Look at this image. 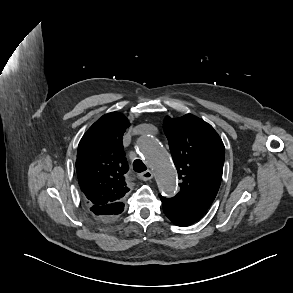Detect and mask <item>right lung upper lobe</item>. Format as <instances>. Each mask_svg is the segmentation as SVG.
Returning a JSON list of instances; mask_svg holds the SVG:
<instances>
[{
	"instance_id": "obj_1",
	"label": "right lung upper lobe",
	"mask_w": 293,
	"mask_h": 293,
	"mask_svg": "<svg viewBox=\"0 0 293 293\" xmlns=\"http://www.w3.org/2000/svg\"><path fill=\"white\" fill-rule=\"evenodd\" d=\"M128 126L122 114L108 113L89 128L78 145L77 176L90 207L120 203L129 191L125 182L129 167L122 145Z\"/></svg>"
}]
</instances>
